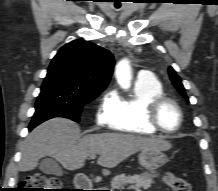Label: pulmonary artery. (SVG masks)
Listing matches in <instances>:
<instances>
[{
  "mask_svg": "<svg viewBox=\"0 0 218 191\" xmlns=\"http://www.w3.org/2000/svg\"><path fill=\"white\" fill-rule=\"evenodd\" d=\"M138 78L139 80H144V81H148V80H152L154 79V75L151 71L149 70H141L138 73Z\"/></svg>",
  "mask_w": 218,
  "mask_h": 191,
  "instance_id": "1",
  "label": "pulmonary artery"
}]
</instances>
